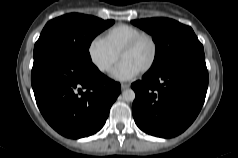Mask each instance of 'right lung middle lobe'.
Listing matches in <instances>:
<instances>
[{
    "instance_id": "right-lung-middle-lobe-1",
    "label": "right lung middle lobe",
    "mask_w": 238,
    "mask_h": 158,
    "mask_svg": "<svg viewBox=\"0 0 238 158\" xmlns=\"http://www.w3.org/2000/svg\"><path fill=\"white\" fill-rule=\"evenodd\" d=\"M114 20H102L94 16L70 13L50 20L42 30L33 55L43 49L58 48L85 63H92L89 47L92 40Z\"/></svg>"
}]
</instances>
